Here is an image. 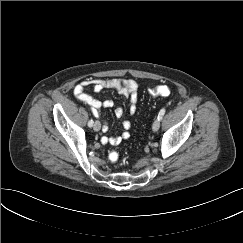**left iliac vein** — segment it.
<instances>
[{
  "label": "left iliac vein",
  "instance_id": "left-iliac-vein-1",
  "mask_svg": "<svg viewBox=\"0 0 243 243\" xmlns=\"http://www.w3.org/2000/svg\"><path fill=\"white\" fill-rule=\"evenodd\" d=\"M160 128V119H156L154 122H153V125H152V130L154 132H157Z\"/></svg>",
  "mask_w": 243,
  "mask_h": 243
}]
</instances>
